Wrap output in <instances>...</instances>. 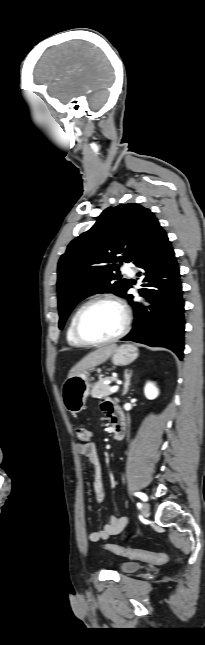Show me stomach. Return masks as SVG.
Masks as SVG:
<instances>
[{
  "mask_svg": "<svg viewBox=\"0 0 205 645\" xmlns=\"http://www.w3.org/2000/svg\"><path fill=\"white\" fill-rule=\"evenodd\" d=\"M138 357V349L132 344H124L111 354V361L117 366H126ZM90 383L87 372L67 378L62 385V399L65 408L72 414L80 413L89 395Z\"/></svg>",
  "mask_w": 205,
  "mask_h": 645,
  "instance_id": "0dacf381",
  "label": "stomach"
}]
</instances>
